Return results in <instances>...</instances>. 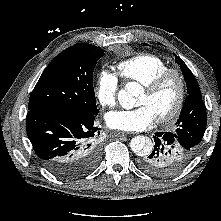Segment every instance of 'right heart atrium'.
I'll use <instances>...</instances> for the list:
<instances>
[{"label":"right heart atrium","mask_w":221,"mask_h":221,"mask_svg":"<svg viewBox=\"0 0 221 221\" xmlns=\"http://www.w3.org/2000/svg\"><path fill=\"white\" fill-rule=\"evenodd\" d=\"M119 81L114 73L101 70L96 77L94 94L97 102L103 108H112L116 104Z\"/></svg>","instance_id":"d8ad5b80"}]
</instances>
